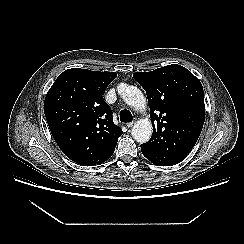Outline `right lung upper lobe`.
<instances>
[{
  "mask_svg": "<svg viewBox=\"0 0 244 244\" xmlns=\"http://www.w3.org/2000/svg\"><path fill=\"white\" fill-rule=\"evenodd\" d=\"M116 76V72L68 69L58 76L45 97L44 113L56 143L80 165L105 162L122 134L103 99Z\"/></svg>",
  "mask_w": 244,
  "mask_h": 244,
  "instance_id": "right-lung-upper-lobe-1",
  "label": "right lung upper lobe"
}]
</instances>
